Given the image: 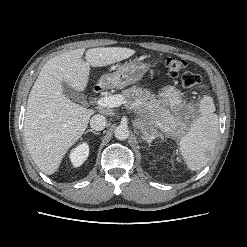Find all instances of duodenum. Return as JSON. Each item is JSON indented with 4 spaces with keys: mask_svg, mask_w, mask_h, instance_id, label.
<instances>
[{
    "mask_svg": "<svg viewBox=\"0 0 247 247\" xmlns=\"http://www.w3.org/2000/svg\"><path fill=\"white\" fill-rule=\"evenodd\" d=\"M99 90V87H95V91H98Z\"/></svg>",
    "mask_w": 247,
    "mask_h": 247,
    "instance_id": "1",
    "label": "duodenum"
}]
</instances>
